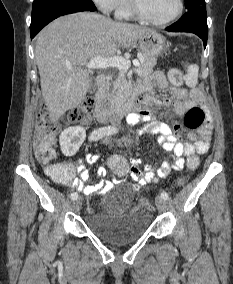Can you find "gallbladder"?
I'll use <instances>...</instances> for the list:
<instances>
[{
  "mask_svg": "<svg viewBox=\"0 0 233 284\" xmlns=\"http://www.w3.org/2000/svg\"><path fill=\"white\" fill-rule=\"evenodd\" d=\"M89 91H90L91 93H93V92L96 91V84H95V81H94V80H91L90 87H89Z\"/></svg>",
  "mask_w": 233,
  "mask_h": 284,
  "instance_id": "1",
  "label": "gallbladder"
}]
</instances>
